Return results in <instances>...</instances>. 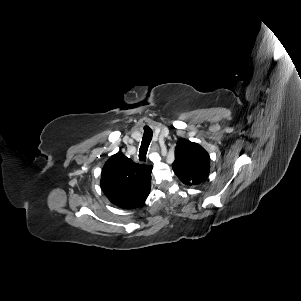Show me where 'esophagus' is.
<instances>
[{
	"instance_id": "34e87169",
	"label": "esophagus",
	"mask_w": 301,
	"mask_h": 301,
	"mask_svg": "<svg viewBox=\"0 0 301 301\" xmlns=\"http://www.w3.org/2000/svg\"><path fill=\"white\" fill-rule=\"evenodd\" d=\"M151 151H152V152H157V151H158V146H157V144L153 143V144L151 145Z\"/></svg>"
}]
</instances>
